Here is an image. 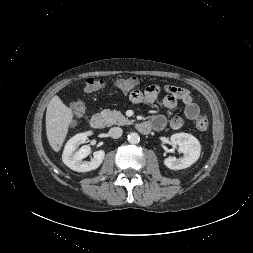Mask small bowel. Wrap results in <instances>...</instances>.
Instances as JSON below:
<instances>
[{"instance_id":"1","label":"small bowel","mask_w":253,"mask_h":253,"mask_svg":"<svg viewBox=\"0 0 253 253\" xmlns=\"http://www.w3.org/2000/svg\"><path fill=\"white\" fill-rule=\"evenodd\" d=\"M162 92L166 94L162 101L166 109L174 110L177 107L178 101H180L185 106L184 114L187 119L193 120L199 115V106L195 103L191 93L187 89L177 86H159L153 84L148 86L143 92L140 90H132L129 98L134 104H140L142 102L153 103ZM150 123L153 125V129L162 130L167 125L168 121L164 115H157ZM169 126L173 130H179L183 126V119L179 116H175L169 120Z\"/></svg>"}]
</instances>
